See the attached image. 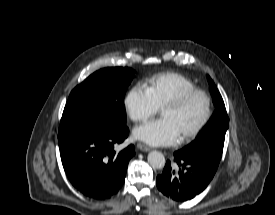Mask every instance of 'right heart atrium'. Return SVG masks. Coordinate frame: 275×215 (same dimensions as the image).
Wrapping results in <instances>:
<instances>
[{
    "instance_id": "d8ad5b80",
    "label": "right heart atrium",
    "mask_w": 275,
    "mask_h": 215,
    "mask_svg": "<svg viewBox=\"0 0 275 215\" xmlns=\"http://www.w3.org/2000/svg\"><path fill=\"white\" fill-rule=\"evenodd\" d=\"M125 109L134 122H143L157 113L158 107L146 88L142 85L133 86L125 96Z\"/></svg>"
}]
</instances>
